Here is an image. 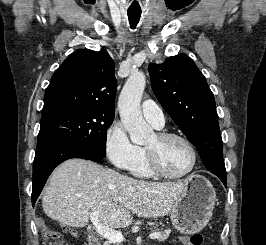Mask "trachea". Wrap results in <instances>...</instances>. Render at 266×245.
Returning <instances> with one entry per match:
<instances>
[{
  "mask_svg": "<svg viewBox=\"0 0 266 245\" xmlns=\"http://www.w3.org/2000/svg\"><path fill=\"white\" fill-rule=\"evenodd\" d=\"M127 14H128L129 23L131 25V28H135L137 23L139 22L141 13H134L133 11H130Z\"/></svg>",
  "mask_w": 266,
  "mask_h": 245,
  "instance_id": "1",
  "label": "trachea"
}]
</instances>
